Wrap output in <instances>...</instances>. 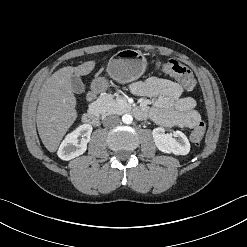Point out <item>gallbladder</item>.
Returning <instances> with one entry per match:
<instances>
[{"mask_svg":"<svg viewBox=\"0 0 247 247\" xmlns=\"http://www.w3.org/2000/svg\"><path fill=\"white\" fill-rule=\"evenodd\" d=\"M71 85L74 93L81 94L84 92V84L79 77L73 76L71 80Z\"/></svg>","mask_w":247,"mask_h":247,"instance_id":"1","label":"gallbladder"}]
</instances>
